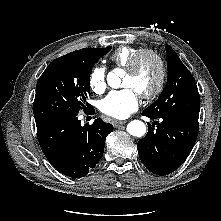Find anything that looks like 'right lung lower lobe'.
<instances>
[{
	"label": "right lung lower lobe",
	"instance_id": "1",
	"mask_svg": "<svg viewBox=\"0 0 221 221\" xmlns=\"http://www.w3.org/2000/svg\"><path fill=\"white\" fill-rule=\"evenodd\" d=\"M36 126L40 147L48 161L73 178L86 176L96 166L103 155L106 136L113 130L111 124L100 118L81 126L77 116L44 120Z\"/></svg>",
	"mask_w": 221,
	"mask_h": 221
}]
</instances>
